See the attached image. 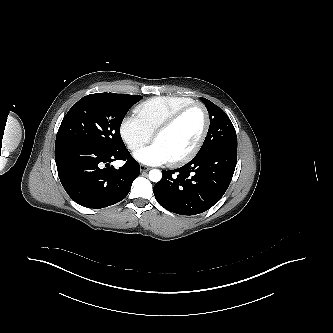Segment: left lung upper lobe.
<instances>
[{
    "instance_id": "left-lung-upper-lobe-1",
    "label": "left lung upper lobe",
    "mask_w": 333,
    "mask_h": 333,
    "mask_svg": "<svg viewBox=\"0 0 333 333\" xmlns=\"http://www.w3.org/2000/svg\"><path fill=\"white\" fill-rule=\"evenodd\" d=\"M200 99L209 112L210 126L205 141L198 153H203L217 147H237V135L229 117L211 101L205 98Z\"/></svg>"
}]
</instances>
